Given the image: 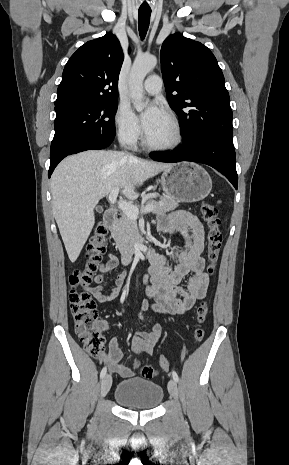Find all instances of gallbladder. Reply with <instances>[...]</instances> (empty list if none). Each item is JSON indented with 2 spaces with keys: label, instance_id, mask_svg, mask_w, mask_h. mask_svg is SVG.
Masks as SVG:
<instances>
[{
  "label": "gallbladder",
  "instance_id": "gallbladder-1",
  "mask_svg": "<svg viewBox=\"0 0 289 465\" xmlns=\"http://www.w3.org/2000/svg\"><path fill=\"white\" fill-rule=\"evenodd\" d=\"M96 210L101 212L102 211V208L101 207H96Z\"/></svg>",
  "mask_w": 289,
  "mask_h": 465
}]
</instances>
